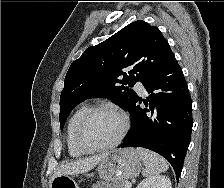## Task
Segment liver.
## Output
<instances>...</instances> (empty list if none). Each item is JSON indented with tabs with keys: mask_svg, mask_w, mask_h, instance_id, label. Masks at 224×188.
Wrapping results in <instances>:
<instances>
[{
	"mask_svg": "<svg viewBox=\"0 0 224 188\" xmlns=\"http://www.w3.org/2000/svg\"><path fill=\"white\" fill-rule=\"evenodd\" d=\"M107 153H102L99 155H95L92 157H87L83 159H78L75 161L67 162L62 164L53 174V177H57L60 175H75L79 173H85L91 169H93L98 163H100L105 157Z\"/></svg>",
	"mask_w": 224,
	"mask_h": 188,
	"instance_id": "liver-1",
	"label": "liver"
}]
</instances>
